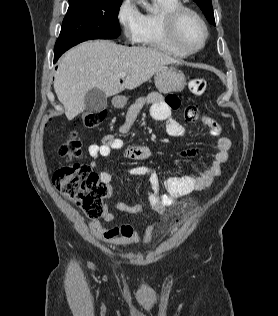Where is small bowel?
<instances>
[{"instance_id":"obj_1","label":"small bowel","mask_w":278,"mask_h":316,"mask_svg":"<svg viewBox=\"0 0 278 316\" xmlns=\"http://www.w3.org/2000/svg\"><path fill=\"white\" fill-rule=\"evenodd\" d=\"M150 105V115L154 120L165 122L166 132L173 137H183L186 134L185 127L177 120L171 117L173 109L180 106V101L176 96H169L167 99L159 93L153 92L145 97L139 98L128 109L126 119L120 126L119 131L126 134L130 131L135 120L137 119L143 107ZM184 117L189 122H201L210 129L213 136L219 137L216 145V154L210 166L204 169L200 175H182L168 177L164 181L166 193H161V181L157 173L151 168L144 165H137L129 169L128 173L132 176H147L150 183L149 205L150 208L160 216L164 215L166 209L172 206L177 199L186 196L194 191H202L208 189L214 179L221 174L222 165L228 160L231 149V141L226 137H220L221 127L211 117L200 113L194 105H189L184 110ZM116 150H122L126 159L134 161H143L151 157V150L144 145L127 146L125 142L112 134L105 135L101 144H90L88 146V154L92 161L90 167L96 168L97 160L107 158ZM196 150H188L181 153L182 156L194 155ZM100 180L104 183L108 190L113 187L112 176L109 172L100 173ZM116 208L130 214H138L144 210V204L136 202L128 204L125 202L116 203ZM102 219L107 223L115 221L116 216L113 212L105 209ZM92 234L101 242L111 246L123 245L132 246L137 243H148L151 241L154 226H148L141 236L135 227L131 224H123L105 228L98 221L90 223Z\"/></svg>"}]
</instances>
